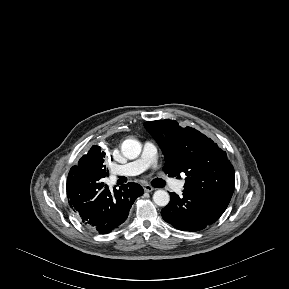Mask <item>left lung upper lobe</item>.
Returning <instances> with one entry per match:
<instances>
[{
	"mask_svg": "<svg viewBox=\"0 0 289 289\" xmlns=\"http://www.w3.org/2000/svg\"><path fill=\"white\" fill-rule=\"evenodd\" d=\"M144 126L164 153L166 174L174 177L183 172L184 189L229 204L235 174L226 152L196 129L182 128L174 120L149 121Z\"/></svg>",
	"mask_w": 289,
	"mask_h": 289,
	"instance_id": "1",
	"label": "left lung upper lobe"
}]
</instances>
